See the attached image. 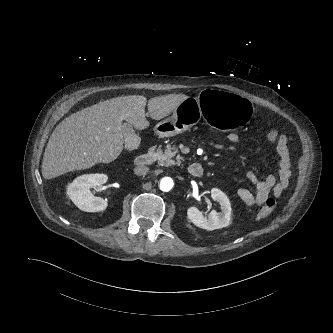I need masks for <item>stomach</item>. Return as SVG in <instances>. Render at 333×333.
Returning a JSON list of instances; mask_svg holds the SVG:
<instances>
[{"instance_id": "1", "label": "stomach", "mask_w": 333, "mask_h": 333, "mask_svg": "<svg viewBox=\"0 0 333 333\" xmlns=\"http://www.w3.org/2000/svg\"><path fill=\"white\" fill-rule=\"evenodd\" d=\"M206 123L219 130H234L247 125L253 116L250 101L227 89L209 87L198 99L186 98L173 111L171 117L159 122L155 133L171 137L188 130L197 120V108Z\"/></svg>"}]
</instances>
